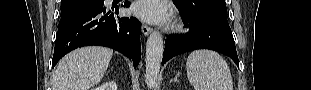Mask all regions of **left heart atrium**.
<instances>
[{
  "mask_svg": "<svg viewBox=\"0 0 311 90\" xmlns=\"http://www.w3.org/2000/svg\"><path fill=\"white\" fill-rule=\"evenodd\" d=\"M133 12L150 23H164L169 18L166 6L158 0H140L133 6Z\"/></svg>",
  "mask_w": 311,
  "mask_h": 90,
  "instance_id": "left-heart-atrium-1",
  "label": "left heart atrium"
}]
</instances>
